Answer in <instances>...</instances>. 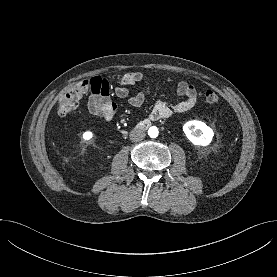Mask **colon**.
<instances>
[{"label": "colon", "instance_id": "5ec220e1", "mask_svg": "<svg viewBox=\"0 0 277 277\" xmlns=\"http://www.w3.org/2000/svg\"><path fill=\"white\" fill-rule=\"evenodd\" d=\"M89 83L83 81L72 86L57 103V111L60 115H67L75 111L77 108L76 102L87 92ZM204 98L206 103L213 105L218 102V95L215 91L209 89L205 91Z\"/></svg>", "mask_w": 277, "mask_h": 277}]
</instances>
